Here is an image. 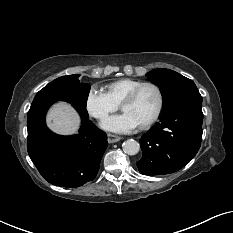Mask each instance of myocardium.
<instances>
[{"label":"myocardium","instance_id":"myocardium-1","mask_svg":"<svg viewBox=\"0 0 233 233\" xmlns=\"http://www.w3.org/2000/svg\"><path fill=\"white\" fill-rule=\"evenodd\" d=\"M146 86H151V87H153L157 91V94H158V105H157V108H156L154 114L146 122L140 124V127L143 128V129L148 128L152 124H154L157 121V119L159 118V116H160V114L162 112L163 105H164V96H163L161 88L156 83H153V82H142L139 85H137L135 88H133L124 97V99L120 103V107L123 110V107L126 104L132 102L136 98V96L138 95L139 91L143 87H146Z\"/></svg>","mask_w":233,"mask_h":233}]
</instances>
